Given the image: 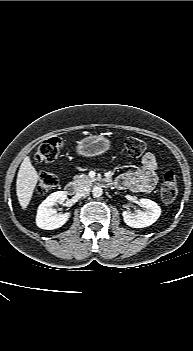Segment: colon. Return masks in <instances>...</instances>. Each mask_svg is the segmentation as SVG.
<instances>
[{
    "instance_id": "obj_1",
    "label": "colon",
    "mask_w": 193,
    "mask_h": 351,
    "mask_svg": "<svg viewBox=\"0 0 193 351\" xmlns=\"http://www.w3.org/2000/svg\"><path fill=\"white\" fill-rule=\"evenodd\" d=\"M127 153L132 157L141 156L146 149L143 140L135 137H128L124 140ZM65 141L60 137H50L43 140L36 149L38 161L46 162L55 160L63 151ZM58 183L57 176L53 173H43L37 183L36 191L39 195H45L53 190ZM178 194L177 175L173 170L164 173L160 186V195L164 202L170 203L175 200Z\"/></svg>"
}]
</instances>
